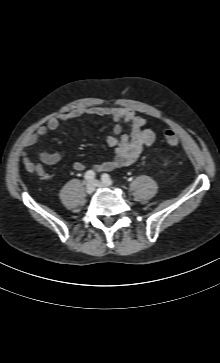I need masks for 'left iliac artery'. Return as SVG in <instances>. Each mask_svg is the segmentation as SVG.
Segmentation results:
<instances>
[{
	"mask_svg": "<svg viewBox=\"0 0 220 363\" xmlns=\"http://www.w3.org/2000/svg\"><path fill=\"white\" fill-rule=\"evenodd\" d=\"M101 179L102 181L107 184V185H112L113 184V181L112 179L110 178V176L106 173H104L102 176H101Z\"/></svg>",
	"mask_w": 220,
	"mask_h": 363,
	"instance_id": "44dca946",
	"label": "left iliac artery"
}]
</instances>
